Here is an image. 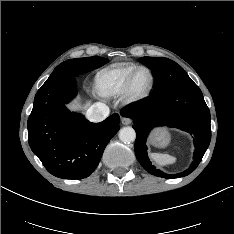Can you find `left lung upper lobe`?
I'll return each mask as SVG.
<instances>
[{
    "instance_id": "left-lung-upper-lobe-1",
    "label": "left lung upper lobe",
    "mask_w": 234,
    "mask_h": 234,
    "mask_svg": "<svg viewBox=\"0 0 234 234\" xmlns=\"http://www.w3.org/2000/svg\"><path fill=\"white\" fill-rule=\"evenodd\" d=\"M139 62L153 71L155 79L153 92L166 88L177 81L189 78L181 66L167 58L142 57L139 59Z\"/></svg>"
}]
</instances>
